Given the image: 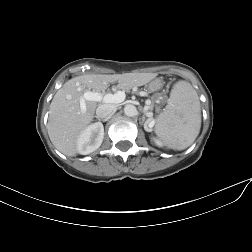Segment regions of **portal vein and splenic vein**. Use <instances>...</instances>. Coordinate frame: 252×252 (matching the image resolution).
Here are the masks:
<instances>
[{"label": "portal vein and splenic vein", "instance_id": "1", "mask_svg": "<svg viewBox=\"0 0 252 252\" xmlns=\"http://www.w3.org/2000/svg\"><path fill=\"white\" fill-rule=\"evenodd\" d=\"M96 101L104 103H120L125 100V93L123 91H118L115 94H105L103 95L100 92L87 90L84 92L83 97L80 100L81 112H85L86 104L85 101ZM148 110V107L145 108Z\"/></svg>", "mask_w": 252, "mask_h": 252}]
</instances>
